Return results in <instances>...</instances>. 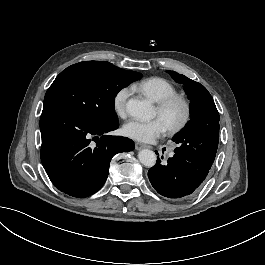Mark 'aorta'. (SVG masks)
Masks as SVG:
<instances>
[{
  "mask_svg": "<svg viewBox=\"0 0 265 265\" xmlns=\"http://www.w3.org/2000/svg\"><path fill=\"white\" fill-rule=\"evenodd\" d=\"M126 110L132 117L145 120L150 119L153 113L152 105L149 102L136 98H130L126 102ZM138 158L146 168L154 167L157 160L155 153L148 149L141 150Z\"/></svg>",
  "mask_w": 265,
  "mask_h": 265,
  "instance_id": "1",
  "label": "aorta"
}]
</instances>
